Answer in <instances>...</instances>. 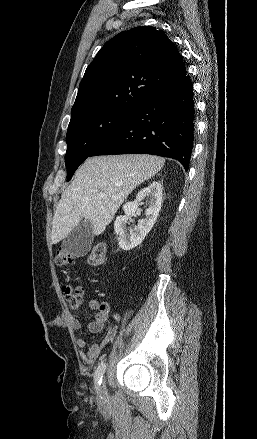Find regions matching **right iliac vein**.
Wrapping results in <instances>:
<instances>
[{"label":"right iliac vein","mask_w":257,"mask_h":439,"mask_svg":"<svg viewBox=\"0 0 257 439\" xmlns=\"http://www.w3.org/2000/svg\"><path fill=\"white\" fill-rule=\"evenodd\" d=\"M106 396H107L106 383H105V380H103L102 385L99 389V397L102 399H105Z\"/></svg>","instance_id":"1"}]
</instances>
